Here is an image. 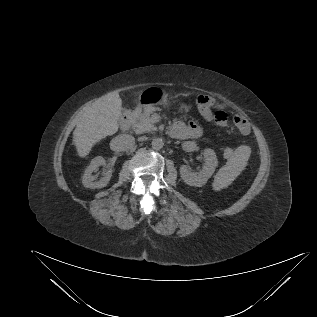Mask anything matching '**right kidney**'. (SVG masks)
I'll return each instance as SVG.
<instances>
[{"label": "right kidney", "mask_w": 317, "mask_h": 317, "mask_svg": "<svg viewBox=\"0 0 317 317\" xmlns=\"http://www.w3.org/2000/svg\"><path fill=\"white\" fill-rule=\"evenodd\" d=\"M106 161L103 157L98 156L92 159L90 165L85 169L82 183L84 187L96 189L105 187L111 179L112 170L108 168L103 172V177L97 179V176L92 175L93 172H96L98 168L102 165H105Z\"/></svg>", "instance_id": "right-kidney-1"}]
</instances>
